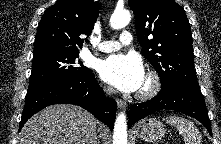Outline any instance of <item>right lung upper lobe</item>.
<instances>
[{"label": "right lung upper lobe", "mask_w": 221, "mask_h": 144, "mask_svg": "<svg viewBox=\"0 0 221 144\" xmlns=\"http://www.w3.org/2000/svg\"><path fill=\"white\" fill-rule=\"evenodd\" d=\"M99 14V2L58 0L47 8L37 29L34 53L49 50L79 52Z\"/></svg>", "instance_id": "cb5924a9"}]
</instances>
